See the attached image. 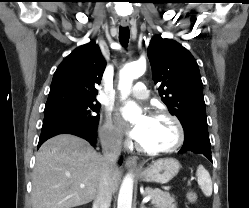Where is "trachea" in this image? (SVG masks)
I'll return each mask as SVG.
<instances>
[{
    "instance_id": "trachea-1",
    "label": "trachea",
    "mask_w": 249,
    "mask_h": 208,
    "mask_svg": "<svg viewBox=\"0 0 249 208\" xmlns=\"http://www.w3.org/2000/svg\"><path fill=\"white\" fill-rule=\"evenodd\" d=\"M130 31L128 27H120L119 40L122 46L126 47L129 41Z\"/></svg>"
}]
</instances>
